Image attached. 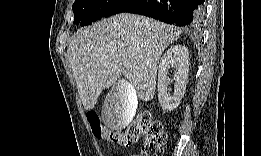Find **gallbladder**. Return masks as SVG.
I'll return each mask as SVG.
<instances>
[{"label":"gallbladder","mask_w":261,"mask_h":156,"mask_svg":"<svg viewBox=\"0 0 261 156\" xmlns=\"http://www.w3.org/2000/svg\"><path fill=\"white\" fill-rule=\"evenodd\" d=\"M117 87L108 93L102 105V121L110 129L120 130L128 127L138 106L137 92L129 80L119 79Z\"/></svg>","instance_id":"obj_1"}]
</instances>
